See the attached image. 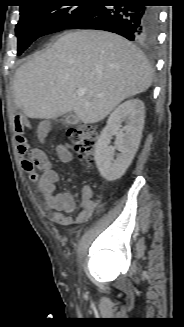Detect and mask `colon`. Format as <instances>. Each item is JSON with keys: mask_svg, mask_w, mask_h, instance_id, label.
Masks as SVG:
<instances>
[{"mask_svg": "<svg viewBox=\"0 0 184 327\" xmlns=\"http://www.w3.org/2000/svg\"><path fill=\"white\" fill-rule=\"evenodd\" d=\"M14 126L18 152L25 154L28 150V144L23 136L25 125L22 120L16 119ZM67 137L82 161L93 162L94 148L98 139V131L95 127L85 124L77 128H71L67 132Z\"/></svg>", "mask_w": 184, "mask_h": 327, "instance_id": "5ec220e1", "label": "colon"}]
</instances>
